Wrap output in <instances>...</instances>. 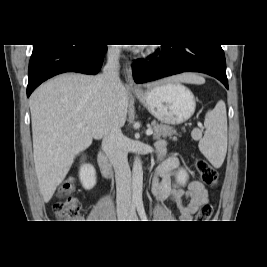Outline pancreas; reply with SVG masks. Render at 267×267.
<instances>
[{
  "label": "pancreas",
  "mask_w": 267,
  "mask_h": 267,
  "mask_svg": "<svg viewBox=\"0 0 267 267\" xmlns=\"http://www.w3.org/2000/svg\"><path fill=\"white\" fill-rule=\"evenodd\" d=\"M152 127H153V138L158 140L161 137H170L172 138L174 141L177 140L176 137H172L173 135H177L176 130L174 129V127L172 126H168V125H164V124H159L155 121H153L151 123Z\"/></svg>",
  "instance_id": "cf45deb5"
}]
</instances>
